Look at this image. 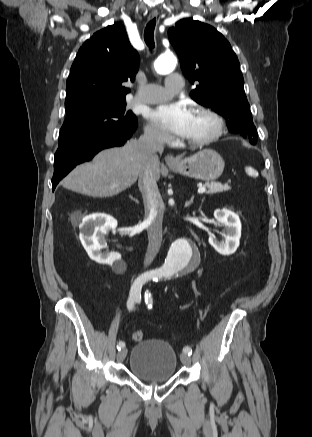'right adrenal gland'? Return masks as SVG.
Returning <instances> with one entry per match:
<instances>
[{"label":"right adrenal gland","mask_w":312,"mask_h":437,"mask_svg":"<svg viewBox=\"0 0 312 437\" xmlns=\"http://www.w3.org/2000/svg\"><path fill=\"white\" fill-rule=\"evenodd\" d=\"M130 198L137 203L139 202L136 198H133V196H130Z\"/></svg>","instance_id":"1"}]
</instances>
